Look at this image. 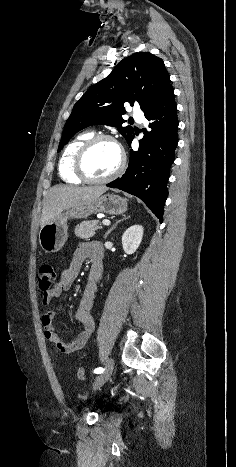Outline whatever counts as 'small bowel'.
Wrapping results in <instances>:
<instances>
[{"label":"small bowel","instance_id":"obj_1","mask_svg":"<svg viewBox=\"0 0 236 467\" xmlns=\"http://www.w3.org/2000/svg\"><path fill=\"white\" fill-rule=\"evenodd\" d=\"M102 255V248L97 242H83L79 244L69 266L62 272L60 281L55 285L53 290L46 293L43 297V305L47 307V311L42 316L44 336L48 342L53 344L62 353L69 354L84 348L94 331L95 322L91 314V308L97 289V281L102 271ZM87 259L91 263L90 273L75 312V318L81 323L82 330L74 340L65 342L53 327L55 310L51 307V302L71 289L74 281L79 276L84 261ZM92 271H95L97 274L94 281L90 277Z\"/></svg>","mask_w":236,"mask_h":467}]
</instances>
